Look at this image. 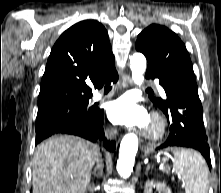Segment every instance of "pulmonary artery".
Segmentation results:
<instances>
[{"mask_svg": "<svg viewBox=\"0 0 221 193\" xmlns=\"http://www.w3.org/2000/svg\"><path fill=\"white\" fill-rule=\"evenodd\" d=\"M158 89H159L160 94H161L163 97H165L166 94H165L164 89H163L162 87H160L159 85H158ZM102 98H103V94L100 93V92H97V93H95V94L93 95L92 100H93V101H99V100L102 99Z\"/></svg>", "mask_w": 221, "mask_h": 193, "instance_id": "e3ab8cb5", "label": "pulmonary artery"}]
</instances>
